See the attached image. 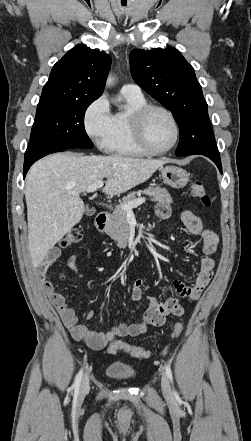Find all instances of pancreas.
I'll use <instances>...</instances> for the list:
<instances>
[{
  "label": "pancreas",
  "mask_w": 251,
  "mask_h": 441,
  "mask_svg": "<svg viewBox=\"0 0 251 441\" xmlns=\"http://www.w3.org/2000/svg\"><path fill=\"white\" fill-rule=\"evenodd\" d=\"M147 194L152 196V201L171 204L172 198L165 188L149 186L147 189L137 192H130L123 197L122 204L136 199V194ZM106 233L118 243H126L129 237V227L127 222V212L122 208H116L111 216V220L106 227Z\"/></svg>",
  "instance_id": "cf45deb5"
}]
</instances>
